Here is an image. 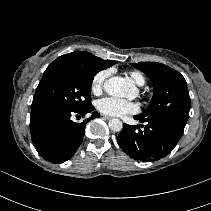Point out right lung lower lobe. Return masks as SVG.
Listing matches in <instances>:
<instances>
[{
    "mask_svg": "<svg viewBox=\"0 0 211 211\" xmlns=\"http://www.w3.org/2000/svg\"><path fill=\"white\" fill-rule=\"evenodd\" d=\"M87 113H90L91 117H100L92 105L79 111L32 110L30 131L33 145L39 155L57 164L69 160L79 148L84 137L86 121L90 119L78 123L72 121L71 116L80 114L84 117Z\"/></svg>",
    "mask_w": 211,
    "mask_h": 211,
    "instance_id": "98d812e1",
    "label": "right lung lower lobe"
}]
</instances>
